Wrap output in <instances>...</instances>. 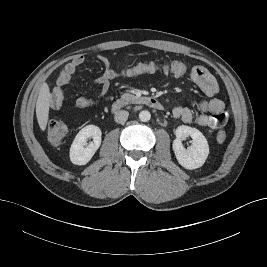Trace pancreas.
I'll return each instance as SVG.
<instances>
[{
  "label": "pancreas",
  "instance_id": "cf45deb5",
  "mask_svg": "<svg viewBox=\"0 0 267 267\" xmlns=\"http://www.w3.org/2000/svg\"><path fill=\"white\" fill-rule=\"evenodd\" d=\"M122 99L126 100V101H133L136 99V97L132 94L129 93H125L122 95Z\"/></svg>",
  "mask_w": 267,
  "mask_h": 267
}]
</instances>
